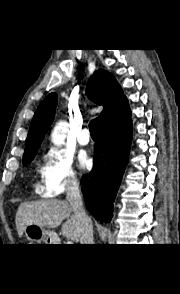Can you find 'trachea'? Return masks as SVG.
Here are the masks:
<instances>
[{"label":"trachea","instance_id":"3493384b","mask_svg":"<svg viewBox=\"0 0 180 294\" xmlns=\"http://www.w3.org/2000/svg\"><path fill=\"white\" fill-rule=\"evenodd\" d=\"M99 117L91 120V122L89 123V130L91 133V136H97L98 135V126H99Z\"/></svg>","mask_w":180,"mask_h":294}]
</instances>
